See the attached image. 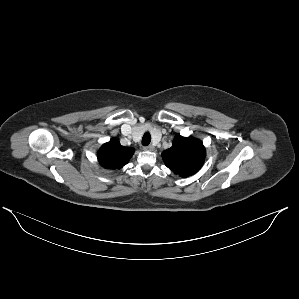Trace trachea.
<instances>
[{
  "instance_id": "trachea-1",
  "label": "trachea",
  "mask_w": 299,
  "mask_h": 299,
  "mask_svg": "<svg viewBox=\"0 0 299 299\" xmlns=\"http://www.w3.org/2000/svg\"><path fill=\"white\" fill-rule=\"evenodd\" d=\"M150 142H151V135L149 132H146L142 138V145L148 146L150 144Z\"/></svg>"
}]
</instances>
